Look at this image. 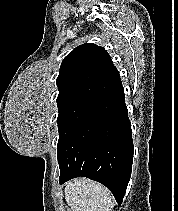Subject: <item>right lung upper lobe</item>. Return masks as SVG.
<instances>
[{
  "mask_svg": "<svg viewBox=\"0 0 178 211\" xmlns=\"http://www.w3.org/2000/svg\"><path fill=\"white\" fill-rule=\"evenodd\" d=\"M58 107L81 101L98 102L122 88L119 72L103 47L86 43L63 60L57 78Z\"/></svg>",
  "mask_w": 178,
  "mask_h": 211,
  "instance_id": "1",
  "label": "right lung upper lobe"
}]
</instances>
